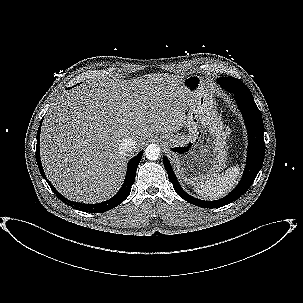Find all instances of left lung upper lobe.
I'll return each instance as SVG.
<instances>
[{"label":"left lung upper lobe","instance_id":"left-lung-upper-lobe-1","mask_svg":"<svg viewBox=\"0 0 303 303\" xmlns=\"http://www.w3.org/2000/svg\"><path fill=\"white\" fill-rule=\"evenodd\" d=\"M230 79H233V80L238 81V82L240 83L241 88L245 91V93L251 94L250 90H249V89L246 87V85H245L241 80H239V79H236V78H233V77H221V78L218 79V83H219V84H222V82H223L224 80H230Z\"/></svg>","mask_w":303,"mask_h":303}]
</instances>
